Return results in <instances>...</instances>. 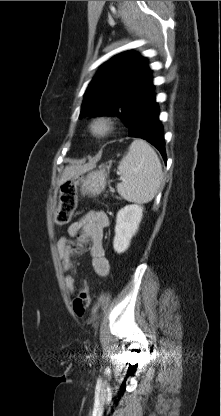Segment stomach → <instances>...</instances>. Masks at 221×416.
I'll return each instance as SVG.
<instances>
[{"label":"stomach","instance_id":"1","mask_svg":"<svg viewBox=\"0 0 221 416\" xmlns=\"http://www.w3.org/2000/svg\"><path fill=\"white\" fill-rule=\"evenodd\" d=\"M81 183L80 191L83 195L97 196L101 194L106 186L105 169L93 170L81 177H75Z\"/></svg>","mask_w":221,"mask_h":416}]
</instances>
